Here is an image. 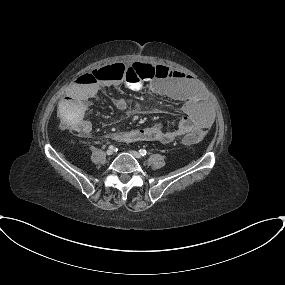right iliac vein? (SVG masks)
I'll use <instances>...</instances> for the list:
<instances>
[{"label":"right iliac vein","mask_w":285,"mask_h":285,"mask_svg":"<svg viewBox=\"0 0 285 285\" xmlns=\"http://www.w3.org/2000/svg\"><path fill=\"white\" fill-rule=\"evenodd\" d=\"M113 152H114V151H113L112 149H108V150L106 151V154H107V155H112Z\"/></svg>","instance_id":"right-iliac-vein-1"}]
</instances>
